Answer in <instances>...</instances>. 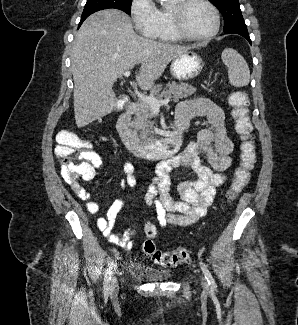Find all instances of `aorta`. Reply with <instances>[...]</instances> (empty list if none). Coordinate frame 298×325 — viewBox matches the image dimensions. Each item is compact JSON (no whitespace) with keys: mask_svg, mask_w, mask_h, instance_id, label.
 Masks as SVG:
<instances>
[{"mask_svg":"<svg viewBox=\"0 0 298 325\" xmlns=\"http://www.w3.org/2000/svg\"><path fill=\"white\" fill-rule=\"evenodd\" d=\"M160 4H162V6H164V4H167L168 0H159Z\"/></svg>","mask_w":298,"mask_h":325,"instance_id":"1","label":"aorta"}]
</instances>
